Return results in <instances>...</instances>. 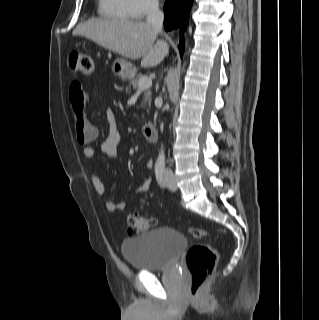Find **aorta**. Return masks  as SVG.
I'll list each match as a JSON object with an SVG mask.
<instances>
[{
    "instance_id": "obj_1",
    "label": "aorta",
    "mask_w": 319,
    "mask_h": 320,
    "mask_svg": "<svg viewBox=\"0 0 319 320\" xmlns=\"http://www.w3.org/2000/svg\"><path fill=\"white\" fill-rule=\"evenodd\" d=\"M164 163H165V153H164L163 146H161V149L159 151L158 158H157V165H164Z\"/></svg>"
}]
</instances>
